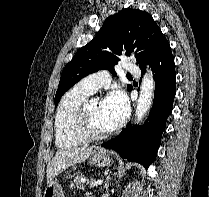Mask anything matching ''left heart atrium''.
I'll list each match as a JSON object with an SVG mask.
<instances>
[{"label":"left heart atrium","mask_w":209,"mask_h":197,"mask_svg":"<svg viewBox=\"0 0 209 197\" xmlns=\"http://www.w3.org/2000/svg\"><path fill=\"white\" fill-rule=\"evenodd\" d=\"M101 110L111 129L118 127L129 113V102L125 93L121 90L111 91L102 101Z\"/></svg>","instance_id":"1"}]
</instances>
